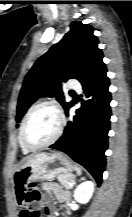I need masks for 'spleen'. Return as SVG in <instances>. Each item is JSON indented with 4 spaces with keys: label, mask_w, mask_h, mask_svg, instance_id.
<instances>
[{
    "label": "spleen",
    "mask_w": 132,
    "mask_h": 217,
    "mask_svg": "<svg viewBox=\"0 0 132 217\" xmlns=\"http://www.w3.org/2000/svg\"><path fill=\"white\" fill-rule=\"evenodd\" d=\"M75 170H76V172H77V174L78 175H81L82 174V170H81V168H79V167H75Z\"/></svg>",
    "instance_id": "spleen-1"
}]
</instances>
